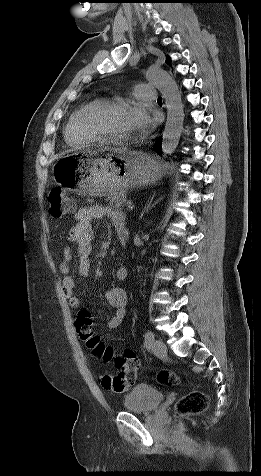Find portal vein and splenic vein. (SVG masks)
Here are the masks:
<instances>
[{"mask_svg":"<svg viewBox=\"0 0 261 476\" xmlns=\"http://www.w3.org/2000/svg\"><path fill=\"white\" fill-rule=\"evenodd\" d=\"M126 204H127V210H133L134 205H133V203H132L131 201H127Z\"/></svg>","mask_w":261,"mask_h":476,"instance_id":"18ae733b","label":"portal vein and splenic vein"}]
</instances>
